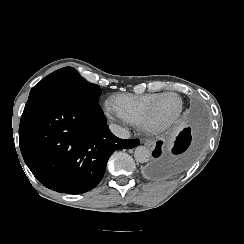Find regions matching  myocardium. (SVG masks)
I'll use <instances>...</instances> for the list:
<instances>
[{
  "label": "myocardium",
  "instance_id": "myocardium-1",
  "mask_svg": "<svg viewBox=\"0 0 244 244\" xmlns=\"http://www.w3.org/2000/svg\"><path fill=\"white\" fill-rule=\"evenodd\" d=\"M165 96H173V97H175L176 100H177V107L172 112L171 116L168 119H164V121L162 123V126H161V129H164V128L168 127L174 121V119L176 118L177 114L180 112V110L182 108V99H181V97L177 93L171 92V91H169V92H163V93L157 95L151 101V103L148 106V112H149V115L151 117H154L155 116V112L158 110V109L153 110V107L155 106V104L158 103V100H160L161 98H163Z\"/></svg>",
  "mask_w": 244,
  "mask_h": 244
}]
</instances>
